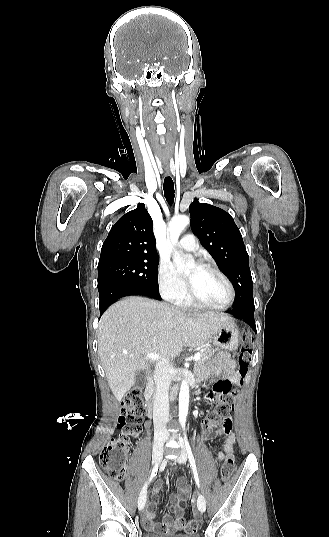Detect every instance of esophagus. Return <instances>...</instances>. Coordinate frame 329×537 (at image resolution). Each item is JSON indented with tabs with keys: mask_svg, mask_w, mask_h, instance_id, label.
Returning <instances> with one entry per match:
<instances>
[{
	"mask_svg": "<svg viewBox=\"0 0 329 537\" xmlns=\"http://www.w3.org/2000/svg\"><path fill=\"white\" fill-rule=\"evenodd\" d=\"M164 171H165V174H166V175H169V174H170V169H169V167H165V168H164Z\"/></svg>",
	"mask_w": 329,
	"mask_h": 537,
	"instance_id": "34e87169",
	"label": "esophagus"
}]
</instances>
